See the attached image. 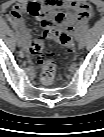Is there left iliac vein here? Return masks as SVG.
<instances>
[{
    "mask_svg": "<svg viewBox=\"0 0 104 137\" xmlns=\"http://www.w3.org/2000/svg\"><path fill=\"white\" fill-rule=\"evenodd\" d=\"M77 46L79 49H82L85 46V42H84L83 38L80 37V39H78Z\"/></svg>",
    "mask_w": 104,
    "mask_h": 137,
    "instance_id": "1",
    "label": "left iliac vein"
}]
</instances>
